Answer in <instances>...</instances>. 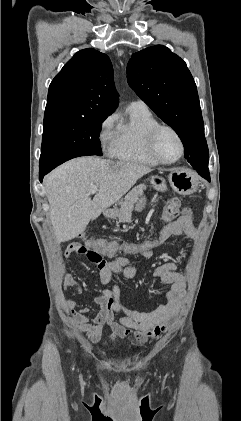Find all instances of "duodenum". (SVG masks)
<instances>
[{"instance_id":"duodenum-1","label":"duodenum","mask_w":241,"mask_h":421,"mask_svg":"<svg viewBox=\"0 0 241 421\" xmlns=\"http://www.w3.org/2000/svg\"><path fill=\"white\" fill-rule=\"evenodd\" d=\"M110 215H111V211L110 210H105L103 212V216H105V217H109Z\"/></svg>"}]
</instances>
